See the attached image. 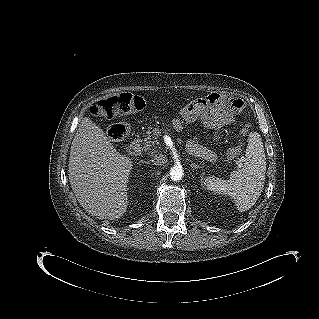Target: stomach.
<instances>
[{
	"label": "stomach",
	"mask_w": 319,
	"mask_h": 319,
	"mask_svg": "<svg viewBox=\"0 0 319 319\" xmlns=\"http://www.w3.org/2000/svg\"><path fill=\"white\" fill-rule=\"evenodd\" d=\"M181 115L187 122L199 121L203 115V106L196 102H190L181 110Z\"/></svg>",
	"instance_id": "1"
}]
</instances>
